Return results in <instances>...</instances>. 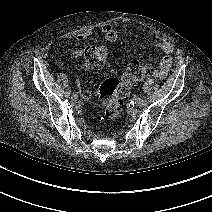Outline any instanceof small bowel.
Listing matches in <instances>:
<instances>
[{
  "label": "small bowel",
  "mask_w": 212,
  "mask_h": 212,
  "mask_svg": "<svg viewBox=\"0 0 212 212\" xmlns=\"http://www.w3.org/2000/svg\"><path fill=\"white\" fill-rule=\"evenodd\" d=\"M99 31L104 35L105 39L109 42H114L119 37V24L117 22L106 23L100 26ZM94 30H88L86 32L76 35L75 39L78 41L85 40L94 34ZM153 46L161 51H163L166 56H164L158 65V77L165 78L169 69L172 65L171 54L173 52V46L171 43L165 40H155ZM82 50L78 49L72 52L73 57H79ZM86 96V93H84Z\"/></svg>",
  "instance_id": "1"
}]
</instances>
